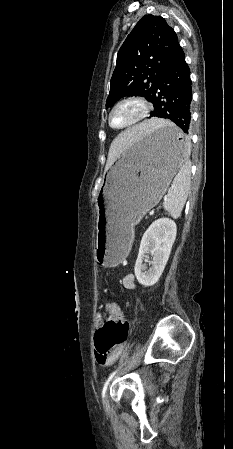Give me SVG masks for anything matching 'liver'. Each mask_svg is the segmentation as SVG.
Returning a JSON list of instances; mask_svg holds the SVG:
<instances>
[{"label":"liver","mask_w":233,"mask_h":449,"mask_svg":"<svg viewBox=\"0 0 233 449\" xmlns=\"http://www.w3.org/2000/svg\"><path fill=\"white\" fill-rule=\"evenodd\" d=\"M169 123L163 119L153 118L134 125L122 133H115V139L111 143L108 154V165H112L117 158L135 142H141L142 137L153 129Z\"/></svg>","instance_id":"1"}]
</instances>
